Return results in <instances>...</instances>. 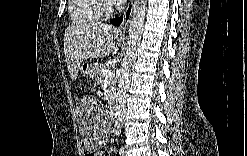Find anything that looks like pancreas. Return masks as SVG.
<instances>
[{
    "label": "pancreas",
    "mask_w": 247,
    "mask_h": 156,
    "mask_svg": "<svg viewBox=\"0 0 247 156\" xmlns=\"http://www.w3.org/2000/svg\"><path fill=\"white\" fill-rule=\"evenodd\" d=\"M107 70H111V65L109 64L97 65L96 73H95L96 75L94 79L98 85H103V83L105 82V72ZM108 89H109L110 95H112V92L115 91V80L113 76L109 78V88Z\"/></svg>",
    "instance_id": "cf45deb5"
}]
</instances>
